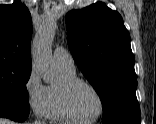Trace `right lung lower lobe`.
<instances>
[{"label": "right lung lower lobe", "mask_w": 156, "mask_h": 124, "mask_svg": "<svg viewBox=\"0 0 156 124\" xmlns=\"http://www.w3.org/2000/svg\"><path fill=\"white\" fill-rule=\"evenodd\" d=\"M28 115L29 105L0 100V117L8 118L16 122H23L27 119Z\"/></svg>", "instance_id": "98d812e1"}]
</instances>
